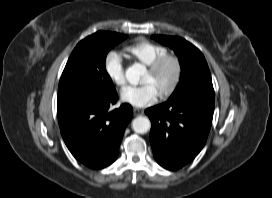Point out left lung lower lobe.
Masks as SVG:
<instances>
[{
  "label": "left lung lower lobe",
  "instance_id": "0a47b994",
  "mask_svg": "<svg viewBox=\"0 0 272 198\" xmlns=\"http://www.w3.org/2000/svg\"><path fill=\"white\" fill-rule=\"evenodd\" d=\"M214 103V92L196 91L146 109L151 147L162 167L177 170L198 155L211 128Z\"/></svg>",
  "mask_w": 272,
  "mask_h": 198
}]
</instances>
